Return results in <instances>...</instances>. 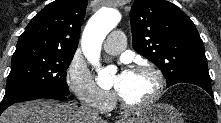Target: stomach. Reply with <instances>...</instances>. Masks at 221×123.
<instances>
[{"label": "stomach", "mask_w": 221, "mask_h": 123, "mask_svg": "<svg viewBox=\"0 0 221 123\" xmlns=\"http://www.w3.org/2000/svg\"><path fill=\"white\" fill-rule=\"evenodd\" d=\"M129 123H184V121L173 106L158 103L136 112Z\"/></svg>", "instance_id": "stomach-1"}]
</instances>
